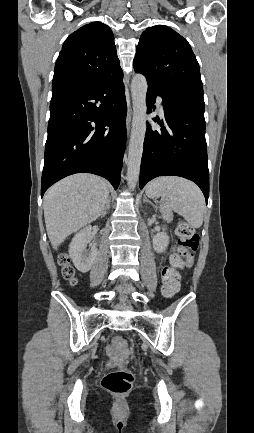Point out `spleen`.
<instances>
[{
	"label": "spleen",
	"mask_w": 254,
	"mask_h": 433,
	"mask_svg": "<svg viewBox=\"0 0 254 433\" xmlns=\"http://www.w3.org/2000/svg\"><path fill=\"white\" fill-rule=\"evenodd\" d=\"M146 195L160 196L175 212L183 216L191 227L202 226L205 199L195 183L176 176L158 177L147 185Z\"/></svg>",
	"instance_id": "3e777b00"
}]
</instances>
